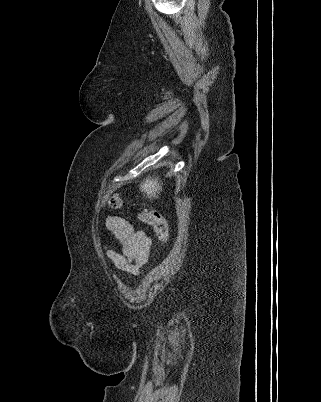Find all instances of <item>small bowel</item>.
Returning <instances> with one entry per match:
<instances>
[{"label":"small bowel","instance_id":"obj_1","mask_svg":"<svg viewBox=\"0 0 321 402\" xmlns=\"http://www.w3.org/2000/svg\"><path fill=\"white\" fill-rule=\"evenodd\" d=\"M106 226L121 245V252L106 250L115 269L129 275H138L148 261L151 239L144 231L135 230L130 222L118 215L109 216Z\"/></svg>","mask_w":321,"mask_h":402}]
</instances>
